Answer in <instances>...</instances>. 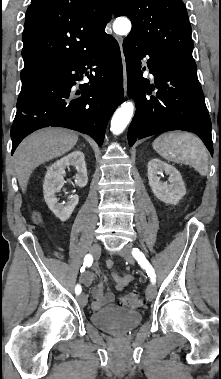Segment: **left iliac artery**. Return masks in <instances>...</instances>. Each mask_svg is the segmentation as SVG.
Wrapping results in <instances>:
<instances>
[{"label":"left iliac artery","mask_w":221,"mask_h":379,"mask_svg":"<svg viewBox=\"0 0 221 379\" xmlns=\"http://www.w3.org/2000/svg\"><path fill=\"white\" fill-rule=\"evenodd\" d=\"M132 255L137 260V262L146 270L148 276L151 279L152 284H154L156 282V274L154 268L146 259L143 252H141L138 248H133Z\"/></svg>","instance_id":"1"}]
</instances>
